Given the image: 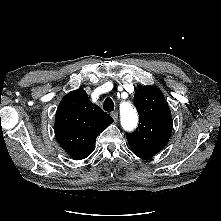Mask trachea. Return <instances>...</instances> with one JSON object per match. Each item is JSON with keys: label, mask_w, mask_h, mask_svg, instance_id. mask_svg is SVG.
<instances>
[{"label": "trachea", "mask_w": 221, "mask_h": 221, "mask_svg": "<svg viewBox=\"0 0 221 221\" xmlns=\"http://www.w3.org/2000/svg\"><path fill=\"white\" fill-rule=\"evenodd\" d=\"M103 108L107 112H112L114 110V102L110 97L105 99Z\"/></svg>", "instance_id": "trachea-1"}]
</instances>
